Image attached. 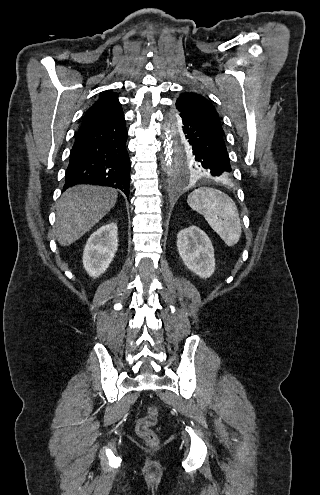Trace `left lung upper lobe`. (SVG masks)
<instances>
[{
    "mask_svg": "<svg viewBox=\"0 0 320 495\" xmlns=\"http://www.w3.org/2000/svg\"><path fill=\"white\" fill-rule=\"evenodd\" d=\"M177 112L172 117V164L176 169L184 170L191 178L208 177V172L201 164L200 153L189 145L183 137L179 123V113L194 115L198 120L209 125L213 130L224 136L219 115L212 103L201 94L189 90L182 92L176 101Z\"/></svg>",
    "mask_w": 320,
    "mask_h": 495,
    "instance_id": "1",
    "label": "left lung upper lobe"
}]
</instances>
